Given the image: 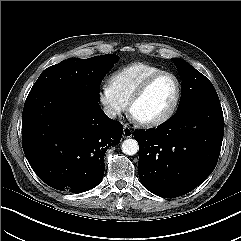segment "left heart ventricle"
I'll return each mask as SVG.
<instances>
[{
  "instance_id": "obj_1",
  "label": "left heart ventricle",
  "mask_w": 241,
  "mask_h": 241,
  "mask_svg": "<svg viewBox=\"0 0 241 241\" xmlns=\"http://www.w3.org/2000/svg\"><path fill=\"white\" fill-rule=\"evenodd\" d=\"M176 94V83L170 76L156 80L147 93L136 103L134 116L149 121L162 116L172 105Z\"/></svg>"
}]
</instances>
